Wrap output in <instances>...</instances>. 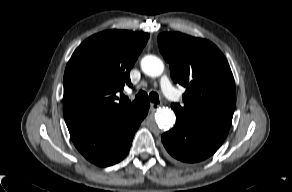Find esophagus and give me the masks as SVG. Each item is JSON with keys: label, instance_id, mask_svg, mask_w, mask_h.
I'll list each match as a JSON object with an SVG mask.
<instances>
[{"label": "esophagus", "instance_id": "34e87169", "mask_svg": "<svg viewBox=\"0 0 292 192\" xmlns=\"http://www.w3.org/2000/svg\"><path fill=\"white\" fill-rule=\"evenodd\" d=\"M159 107H160V105L157 104V103H151V104H150V109H151V111H155V110L158 109Z\"/></svg>", "mask_w": 292, "mask_h": 192}]
</instances>
